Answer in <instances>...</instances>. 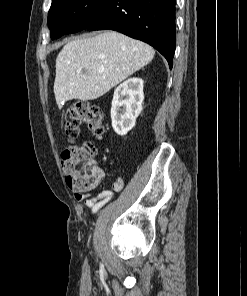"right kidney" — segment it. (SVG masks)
Masks as SVG:
<instances>
[{
	"mask_svg": "<svg viewBox=\"0 0 247 296\" xmlns=\"http://www.w3.org/2000/svg\"><path fill=\"white\" fill-rule=\"evenodd\" d=\"M143 100V80L141 78H129L115 89L111 120L112 127L118 135L124 136L134 127L142 111Z\"/></svg>",
	"mask_w": 247,
	"mask_h": 296,
	"instance_id": "1",
	"label": "right kidney"
}]
</instances>
